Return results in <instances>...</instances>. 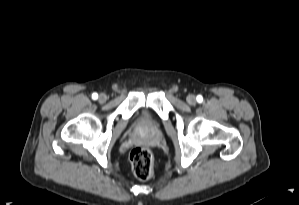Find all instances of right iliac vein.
<instances>
[{
	"label": "right iliac vein",
	"instance_id": "right-iliac-vein-1",
	"mask_svg": "<svg viewBox=\"0 0 299 205\" xmlns=\"http://www.w3.org/2000/svg\"><path fill=\"white\" fill-rule=\"evenodd\" d=\"M106 99H107L106 95L102 93V94L99 95L98 101L100 103H105Z\"/></svg>",
	"mask_w": 299,
	"mask_h": 205
}]
</instances>
